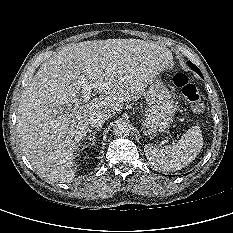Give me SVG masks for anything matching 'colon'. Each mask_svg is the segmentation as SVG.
I'll return each instance as SVG.
<instances>
[{"instance_id":"5ec220e1","label":"colon","mask_w":233,"mask_h":233,"mask_svg":"<svg viewBox=\"0 0 233 233\" xmlns=\"http://www.w3.org/2000/svg\"><path fill=\"white\" fill-rule=\"evenodd\" d=\"M174 84L180 89L181 95L195 112H201L204 109V101L200 88L190 81L184 73H176L173 77Z\"/></svg>"}]
</instances>
